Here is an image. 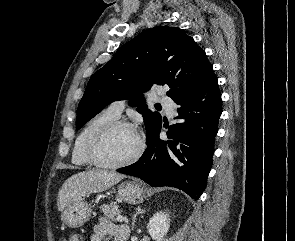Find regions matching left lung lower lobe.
Wrapping results in <instances>:
<instances>
[{
	"mask_svg": "<svg viewBox=\"0 0 295 241\" xmlns=\"http://www.w3.org/2000/svg\"><path fill=\"white\" fill-rule=\"evenodd\" d=\"M178 123L168 128L169 140L159 138L161 125L142 157L118 172L139 177L153 187L171 186L198 200L212 166L214 141L222 113L221 93L214 75L175 100Z\"/></svg>",
	"mask_w": 295,
	"mask_h": 241,
	"instance_id": "left-lung-lower-lobe-1",
	"label": "left lung lower lobe"
}]
</instances>
